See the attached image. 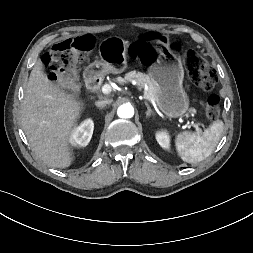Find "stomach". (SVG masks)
I'll return each instance as SVG.
<instances>
[{
	"instance_id": "stomach-1",
	"label": "stomach",
	"mask_w": 253,
	"mask_h": 253,
	"mask_svg": "<svg viewBox=\"0 0 253 253\" xmlns=\"http://www.w3.org/2000/svg\"><path fill=\"white\" fill-rule=\"evenodd\" d=\"M128 42L118 36L105 38L99 44L100 60L87 69L90 77L108 73L120 74L127 68ZM148 75L160 88L159 107L170 118L183 116L189 109L190 100L182 83L184 70L177 58H166L151 65Z\"/></svg>"
}]
</instances>
